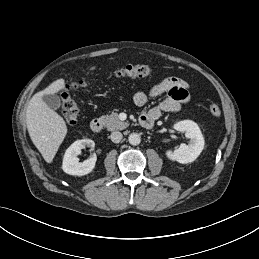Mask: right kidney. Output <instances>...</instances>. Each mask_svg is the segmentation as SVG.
I'll list each match as a JSON object with an SVG mask.
<instances>
[{
	"mask_svg": "<svg viewBox=\"0 0 259 259\" xmlns=\"http://www.w3.org/2000/svg\"><path fill=\"white\" fill-rule=\"evenodd\" d=\"M94 145L95 143L91 139H81L71 144L66 150L63 157V171L69 175L75 176H83L89 174L95 168L97 160L96 155H92L89 159L83 161L82 163L79 162V158L77 157V155H79L81 149L85 148L86 146H89L93 149Z\"/></svg>",
	"mask_w": 259,
	"mask_h": 259,
	"instance_id": "ca27d5eb",
	"label": "right kidney"
}]
</instances>
